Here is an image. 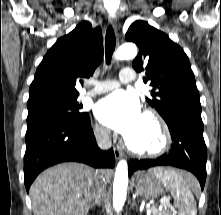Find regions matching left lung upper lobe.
Listing matches in <instances>:
<instances>
[{
  "mask_svg": "<svg viewBox=\"0 0 221 215\" xmlns=\"http://www.w3.org/2000/svg\"><path fill=\"white\" fill-rule=\"evenodd\" d=\"M126 40L139 47L132 66L137 72L146 70L143 80L153 87L151 97L146 100L164 120L175 108L201 113L194 73L187 55L179 45L167 34L141 20L131 24Z\"/></svg>",
  "mask_w": 221,
  "mask_h": 215,
  "instance_id": "obj_1",
  "label": "left lung upper lobe"
}]
</instances>
